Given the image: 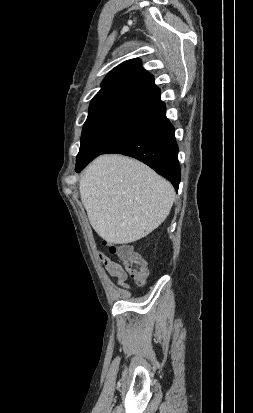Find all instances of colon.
<instances>
[{
  "label": "colon",
  "mask_w": 253,
  "mask_h": 413,
  "mask_svg": "<svg viewBox=\"0 0 253 413\" xmlns=\"http://www.w3.org/2000/svg\"><path fill=\"white\" fill-rule=\"evenodd\" d=\"M111 254L118 256L126 273L138 284H143L148 277V269L144 259L127 244H109Z\"/></svg>",
  "instance_id": "5ec220e1"
}]
</instances>
